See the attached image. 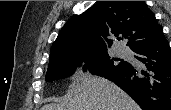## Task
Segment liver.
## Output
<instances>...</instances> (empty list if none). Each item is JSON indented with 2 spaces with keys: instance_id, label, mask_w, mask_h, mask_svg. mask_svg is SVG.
I'll use <instances>...</instances> for the list:
<instances>
[{
  "instance_id": "6515ba94",
  "label": "liver",
  "mask_w": 171,
  "mask_h": 110,
  "mask_svg": "<svg viewBox=\"0 0 171 110\" xmlns=\"http://www.w3.org/2000/svg\"><path fill=\"white\" fill-rule=\"evenodd\" d=\"M70 98L47 104L41 110H140L136 102L114 83L101 77H85L69 89Z\"/></svg>"
}]
</instances>
